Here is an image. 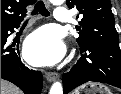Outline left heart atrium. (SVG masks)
Listing matches in <instances>:
<instances>
[{
  "label": "left heart atrium",
  "instance_id": "1",
  "mask_svg": "<svg viewBox=\"0 0 121 94\" xmlns=\"http://www.w3.org/2000/svg\"><path fill=\"white\" fill-rule=\"evenodd\" d=\"M23 53L29 63L48 66L61 60L65 53V46L53 27L44 26L27 38Z\"/></svg>",
  "mask_w": 121,
  "mask_h": 94
}]
</instances>
